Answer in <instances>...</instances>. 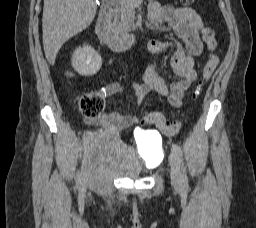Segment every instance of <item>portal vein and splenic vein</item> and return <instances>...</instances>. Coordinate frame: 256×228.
I'll list each match as a JSON object with an SVG mask.
<instances>
[{"label":"portal vein and splenic vein","mask_w":256,"mask_h":228,"mask_svg":"<svg viewBox=\"0 0 256 228\" xmlns=\"http://www.w3.org/2000/svg\"><path fill=\"white\" fill-rule=\"evenodd\" d=\"M128 1L133 2L136 5H139L142 2V0H119V2H121V3H125V2H128Z\"/></svg>","instance_id":"18ae733b"}]
</instances>
